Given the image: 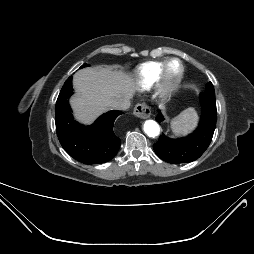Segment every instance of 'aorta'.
Wrapping results in <instances>:
<instances>
[{
    "label": "aorta",
    "mask_w": 254,
    "mask_h": 254,
    "mask_svg": "<svg viewBox=\"0 0 254 254\" xmlns=\"http://www.w3.org/2000/svg\"><path fill=\"white\" fill-rule=\"evenodd\" d=\"M144 131L149 137H156L160 133V127L154 120H147L144 123Z\"/></svg>",
    "instance_id": "762f6f07"
}]
</instances>
